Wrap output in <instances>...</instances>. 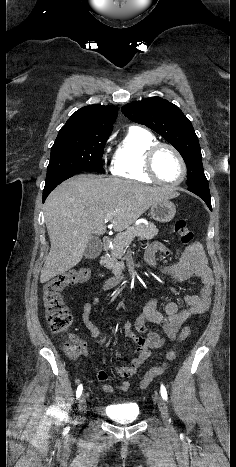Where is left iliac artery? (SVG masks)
<instances>
[{
	"instance_id": "left-iliac-artery-1",
	"label": "left iliac artery",
	"mask_w": 236,
	"mask_h": 467,
	"mask_svg": "<svg viewBox=\"0 0 236 467\" xmlns=\"http://www.w3.org/2000/svg\"><path fill=\"white\" fill-rule=\"evenodd\" d=\"M160 393H161L162 398H163L165 401H167V399H168L167 391H166V388H165V386H164L163 384L161 385Z\"/></svg>"
}]
</instances>
